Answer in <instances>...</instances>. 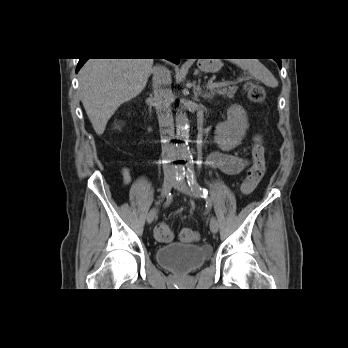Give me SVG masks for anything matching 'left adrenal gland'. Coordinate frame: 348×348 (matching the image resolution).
Returning a JSON list of instances; mask_svg holds the SVG:
<instances>
[{
  "instance_id": "a2214340",
  "label": "left adrenal gland",
  "mask_w": 348,
  "mask_h": 348,
  "mask_svg": "<svg viewBox=\"0 0 348 348\" xmlns=\"http://www.w3.org/2000/svg\"><path fill=\"white\" fill-rule=\"evenodd\" d=\"M197 95H200L202 98H204L205 100L206 99H211L212 98V95L209 93V92H207V91H205V93H202V89H201V87H200V80H199V83H198V86H197V88H196V96Z\"/></svg>"
}]
</instances>
